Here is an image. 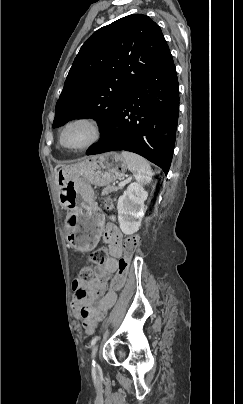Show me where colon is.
<instances>
[{
    "instance_id": "1",
    "label": "colon",
    "mask_w": 243,
    "mask_h": 404,
    "mask_svg": "<svg viewBox=\"0 0 243 404\" xmlns=\"http://www.w3.org/2000/svg\"><path fill=\"white\" fill-rule=\"evenodd\" d=\"M107 205L108 207H112V202L108 200ZM139 245H140V238L137 236L128 237L123 242L122 254L118 261V270L112 282L113 289H120L125 285L128 277V270L130 263ZM106 256H107L106 250L104 248H101L91 255V261L94 264H102L106 260ZM95 275L96 271L94 267L91 265H86L81 270L78 280L80 282L86 283L92 280L95 277ZM103 319H101V321Z\"/></svg>"
}]
</instances>
